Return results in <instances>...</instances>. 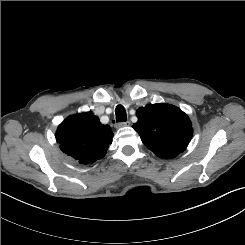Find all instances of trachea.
<instances>
[{
  "label": "trachea",
  "mask_w": 245,
  "mask_h": 245,
  "mask_svg": "<svg viewBox=\"0 0 245 245\" xmlns=\"http://www.w3.org/2000/svg\"><path fill=\"white\" fill-rule=\"evenodd\" d=\"M116 120L118 122H124L127 119L126 110L122 105H118L115 109Z\"/></svg>",
  "instance_id": "3493384b"
}]
</instances>
